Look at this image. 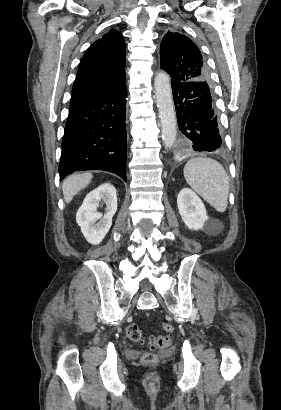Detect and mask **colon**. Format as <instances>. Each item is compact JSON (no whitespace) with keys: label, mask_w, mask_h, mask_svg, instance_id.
<instances>
[{"label":"colon","mask_w":281,"mask_h":410,"mask_svg":"<svg viewBox=\"0 0 281 410\" xmlns=\"http://www.w3.org/2000/svg\"><path fill=\"white\" fill-rule=\"evenodd\" d=\"M161 327L167 333L166 335L145 338L141 328L137 324H131L126 327V338L133 343L147 344L153 350H162L173 343V338L170 334L173 332L174 327L170 323H162ZM156 360L157 356L153 351L146 352L142 356V361L146 364L154 363Z\"/></svg>","instance_id":"colon-1"}]
</instances>
